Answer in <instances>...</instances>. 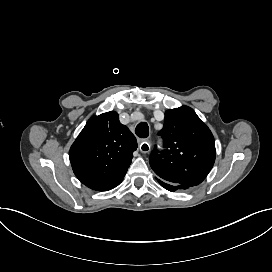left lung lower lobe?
<instances>
[{
    "instance_id": "left-lung-lower-lobe-1",
    "label": "left lung lower lobe",
    "mask_w": 272,
    "mask_h": 272,
    "mask_svg": "<svg viewBox=\"0 0 272 272\" xmlns=\"http://www.w3.org/2000/svg\"><path fill=\"white\" fill-rule=\"evenodd\" d=\"M156 180L160 183L161 186H163L165 189L171 191V192H174L176 190H185V189H188L187 187H182V186H179V185H175V184H171L169 182H166L160 178H157L156 177Z\"/></svg>"
}]
</instances>
